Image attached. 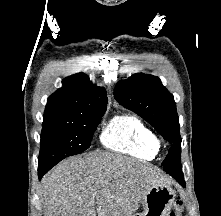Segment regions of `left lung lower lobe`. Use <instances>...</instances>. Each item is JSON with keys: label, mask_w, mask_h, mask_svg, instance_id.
<instances>
[{"label": "left lung lower lobe", "mask_w": 221, "mask_h": 216, "mask_svg": "<svg viewBox=\"0 0 221 216\" xmlns=\"http://www.w3.org/2000/svg\"><path fill=\"white\" fill-rule=\"evenodd\" d=\"M173 178H175L182 186L185 185L183 172L177 176H174Z\"/></svg>", "instance_id": "left-lung-lower-lobe-1"}]
</instances>
